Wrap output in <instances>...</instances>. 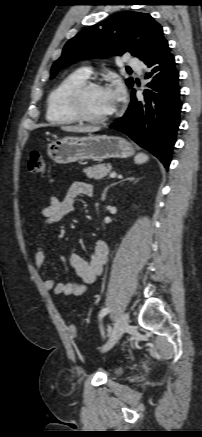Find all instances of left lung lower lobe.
I'll return each instance as SVG.
<instances>
[{
	"label": "left lung lower lobe",
	"instance_id": "obj_1",
	"mask_svg": "<svg viewBox=\"0 0 202 437\" xmlns=\"http://www.w3.org/2000/svg\"><path fill=\"white\" fill-rule=\"evenodd\" d=\"M145 64L149 83L144 98L137 99L133 89L127 111L110 128L129 135L169 168L182 108L179 72L168 43Z\"/></svg>",
	"mask_w": 202,
	"mask_h": 437
}]
</instances>
